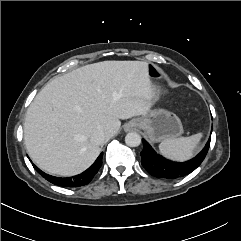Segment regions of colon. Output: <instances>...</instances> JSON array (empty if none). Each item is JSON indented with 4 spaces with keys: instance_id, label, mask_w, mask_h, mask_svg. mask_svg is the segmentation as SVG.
I'll return each instance as SVG.
<instances>
[{
    "instance_id": "obj_1",
    "label": "colon",
    "mask_w": 241,
    "mask_h": 241,
    "mask_svg": "<svg viewBox=\"0 0 241 241\" xmlns=\"http://www.w3.org/2000/svg\"><path fill=\"white\" fill-rule=\"evenodd\" d=\"M164 72L159 67L158 63L153 60H148L144 64V76L146 79L151 81H158L162 79Z\"/></svg>"
}]
</instances>
